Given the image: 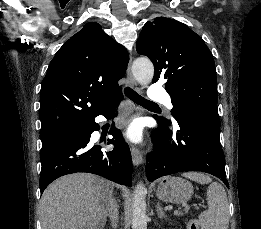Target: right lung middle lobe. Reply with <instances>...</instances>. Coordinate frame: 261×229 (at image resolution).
<instances>
[{
  "label": "right lung middle lobe",
  "instance_id": "dd1d6c3e",
  "mask_svg": "<svg viewBox=\"0 0 261 229\" xmlns=\"http://www.w3.org/2000/svg\"><path fill=\"white\" fill-rule=\"evenodd\" d=\"M42 149L47 148L58 140V133L54 130L41 132Z\"/></svg>",
  "mask_w": 261,
  "mask_h": 229
}]
</instances>
